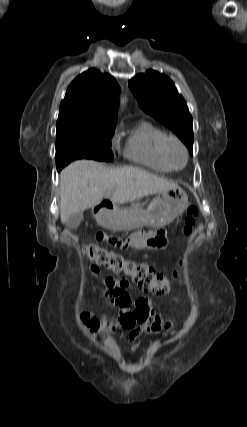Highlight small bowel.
Listing matches in <instances>:
<instances>
[{
	"instance_id": "obj_1",
	"label": "small bowel",
	"mask_w": 247,
	"mask_h": 427,
	"mask_svg": "<svg viewBox=\"0 0 247 427\" xmlns=\"http://www.w3.org/2000/svg\"><path fill=\"white\" fill-rule=\"evenodd\" d=\"M96 234L98 243L101 245L105 242L115 250L127 248L128 240L117 236L115 232L104 233L100 229ZM129 242L139 248L151 247L163 250L167 247V235L162 230L140 231L132 234ZM90 269L94 275L99 273V269L95 265H92ZM103 285L104 295L109 299V303L117 308V314L111 323V330H128L130 342H134L144 335H157L168 331L170 322L165 321L157 313L149 299L143 297L133 299L130 296L128 289L131 287V283L127 279L106 278Z\"/></svg>"
}]
</instances>
